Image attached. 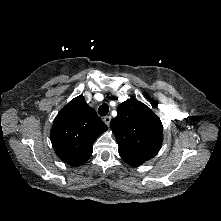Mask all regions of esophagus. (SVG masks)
I'll list each match as a JSON object with an SVG mask.
<instances>
[{"instance_id": "1", "label": "esophagus", "mask_w": 221, "mask_h": 221, "mask_svg": "<svg viewBox=\"0 0 221 221\" xmlns=\"http://www.w3.org/2000/svg\"><path fill=\"white\" fill-rule=\"evenodd\" d=\"M103 121L105 122V124H106L107 126H109V125H110V122H111V116H105V117L103 118Z\"/></svg>"}]
</instances>
